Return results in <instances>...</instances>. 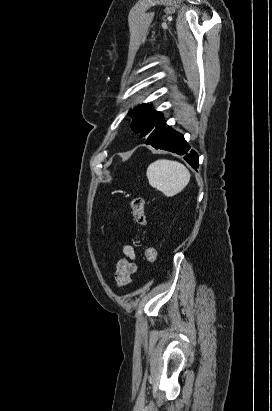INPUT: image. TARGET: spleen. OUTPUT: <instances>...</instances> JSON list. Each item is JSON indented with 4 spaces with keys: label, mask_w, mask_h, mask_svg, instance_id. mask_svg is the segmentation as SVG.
Returning <instances> with one entry per match:
<instances>
[{
    "label": "spleen",
    "mask_w": 272,
    "mask_h": 411,
    "mask_svg": "<svg viewBox=\"0 0 272 411\" xmlns=\"http://www.w3.org/2000/svg\"><path fill=\"white\" fill-rule=\"evenodd\" d=\"M146 175L149 184L167 197L181 192L190 180V172L182 163L167 159L151 163Z\"/></svg>",
    "instance_id": "1"
}]
</instances>
